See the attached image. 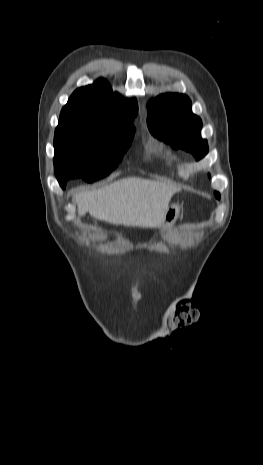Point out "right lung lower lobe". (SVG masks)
<instances>
[{
    "mask_svg": "<svg viewBox=\"0 0 263 465\" xmlns=\"http://www.w3.org/2000/svg\"><path fill=\"white\" fill-rule=\"evenodd\" d=\"M62 188H65L67 180L58 179Z\"/></svg>",
    "mask_w": 263,
    "mask_h": 465,
    "instance_id": "obj_1",
    "label": "right lung lower lobe"
}]
</instances>
